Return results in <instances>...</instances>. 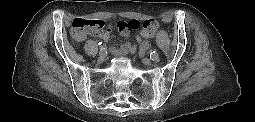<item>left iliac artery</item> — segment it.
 I'll return each instance as SVG.
<instances>
[{"label":"left iliac artery","mask_w":255,"mask_h":122,"mask_svg":"<svg viewBox=\"0 0 255 122\" xmlns=\"http://www.w3.org/2000/svg\"><path fill=\"white\" fill-rule=\"evenodd\" d=\"M150 58H151V60H153V61H157V60H159V54H158L156 51H152V52L150 53Z\"/></svg>","instance_id":"obj_1"}]
</instances>
